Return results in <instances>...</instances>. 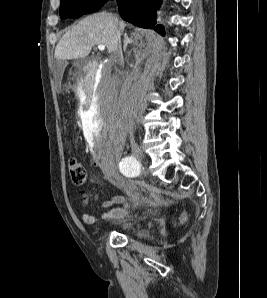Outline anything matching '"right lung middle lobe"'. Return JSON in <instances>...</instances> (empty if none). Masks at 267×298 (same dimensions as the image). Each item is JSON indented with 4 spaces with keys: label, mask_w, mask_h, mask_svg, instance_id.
I'll use <instances>...</instances> for the list:
<instances>
[{
    "label": "right lung middle lobe",
    "mask_w": 267,
    "mask_h": 298,
    "mask_svg": "<svg viewBox=\"0 0 267 298\" xmlns=\"http://www.w3.org/2000/svg\"><path fill=\"white\" fill-rule=\"evenodd\" d=\"M108 0H61L60 17L78 18L98 11Z\"/></svg>",
    "instance_id": "obj_1"
}]
</instances>
